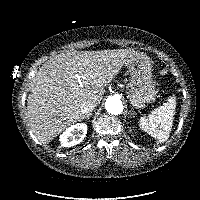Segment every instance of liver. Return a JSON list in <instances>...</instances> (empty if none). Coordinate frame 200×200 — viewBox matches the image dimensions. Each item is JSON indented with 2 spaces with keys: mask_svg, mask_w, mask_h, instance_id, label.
I'll list each match as a JSON object with an SVG mask.
<instances>
[{
  "mask_svg": "<svg viewBox=\"0 0 200 200\" xmlns=\"http://www.w3.org/2000/svg\"><path fill=\"white\" fill-rule=\"evenodd\" d=\"M136 53L133 49L70 50L44 63L27 99V117L37 139L47 144L80 121L82 103L91 100L97 106L104 88Z\"/></svg>",
  "mask_w": 200,
  "mask_h": 200,
  "instance_id": "1",
  "label": "liver"
}]
</instances>
